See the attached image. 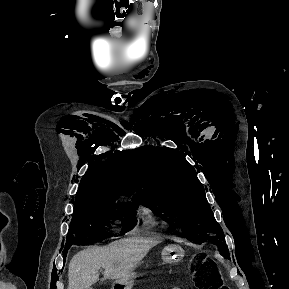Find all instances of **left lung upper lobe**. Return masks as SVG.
<instances>
[{"mask_svg": "<svg viewBox=\"0 0 289 289\" xmlns=\"http://www.w3.org/2000/svg\"><path fill=\"white\" fill-rule=\"evenodd\" d=\"M137 156L142 176L137 186L138 201L164 221L180 225L190 242L216 244L230 259L223 230L213 216L195 169L183 154L146 146Z\"/></svg>", "mask_w": 289, "mask_h": 289, "instance_id": "obj_1", "label": "left lung upper lobe"}]
</instances>
